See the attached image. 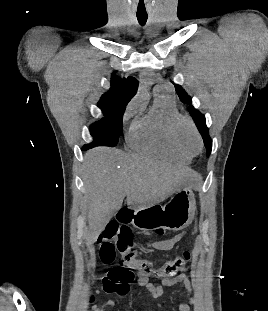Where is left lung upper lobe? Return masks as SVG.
I'll return each mask as SVG.
<instances>
[{
    "label": "left lung upper lobe",
    "instance_id": "5c2ea615",
    "mask_svg": "<svg viewBox=\"0 0 268 311\" xmlns=\"http://www.w3.org/2000/svg\"><path fill=\"white\" fill-rule=\"evenodd\" d=\"M175 90L183 103L191 104V97L185 92V90L178 84H175ZM189 113L203 138L204 145L206 147L207 155H210L212 150V140L209 136V131L206 126L205 116L201 114L197 109H195L192 105L188 107Z\"/></svg>",
    "mask_w": 268,
    "mask_h": 311
}]
</instances>
